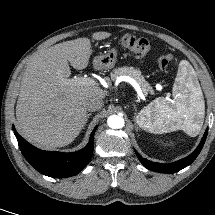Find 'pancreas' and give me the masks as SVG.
<instances>
[{
  "label": "pancreas",
  "instance_id": "pancreas-1",
  "mask_svg": "<svg viewBox=\"0 0 215 215\" xmlns=\"http://www.w3.org/2000/svg\"><path fill=\"white\" fill-rule=\"evenodd\" d=\"M122 75H126L134 79L141 87L143 92L145 93L153 92V88L149 85L148 82L145 81L144 77L141 75L140 70L134 69L133 67H123V68L114 69L113 73H111V79L114 80Z\"/></svg>",
  "mask_w": 215,
  "mask_h": 215
}]
</instances>
